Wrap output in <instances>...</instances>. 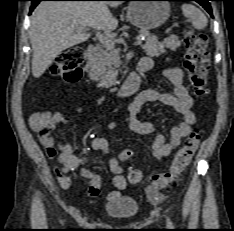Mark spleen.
<instances>
[{"mask_svg":"<svg viewBox=\"0 0 234 231\" xmlns=\"http://www.w3.org/2000/svg\"><path fill=\"white\" fill-rule=\"evenodd\" d=\"M181 9L184 16L190 19L194 28L200 30L207 26L206 16L194 5L185 3L181 6Z\"/></svg>","mask_w":234,"mask_h":231,"instance_id":"obj_1","label":"spleen"}]
</instances>
